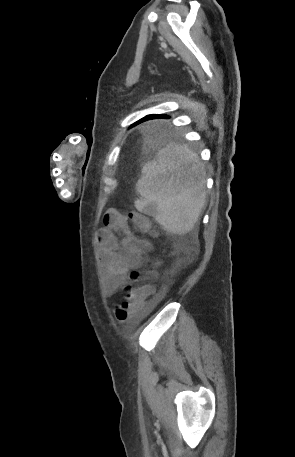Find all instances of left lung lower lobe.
<instances>
[{"label":"left lung lower lobe","mask_w":295,"mask_h":457,"mask_svg":"<svg viewBox=\"0 0 295 457\" xmlns=\"http://www.w3.org/2000/svg\"><path fill=\"white\" fill-rule=\"evenodd\" d=\"M156 118H167V116L166 115H152V118H150V119H156ZM150 119H148V120H150Z\"/></svg>","instance_id":"left-lung-lower-lobe-1"}]
</instances>
